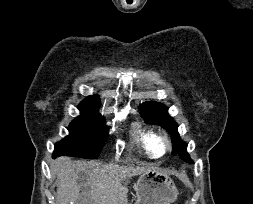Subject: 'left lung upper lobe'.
Here are the masks:
<instances>
[{
    "instance_id": "obj_1",
    "label": "left lung upper lobe",
    "mask_w": 253,
    "mask_h": 204,
    "mask_svg": "<svg viewBox=\"0 0 253 204\" xmlns=\"http://www.w3.org/2000/svg\"><path fill=\"white\" fill-rule=\"evenodd\" d=\"M140 109L142 112V117L146 122L160 125L168 131L173 142L172 154L174 155L178 153L180 158L186 161L189 158V155L186 151V143L181 141V138L177 133L178 126L168 115V109L163 104L154 101L143 103Z\"/></svg>"
}]
</instances>
